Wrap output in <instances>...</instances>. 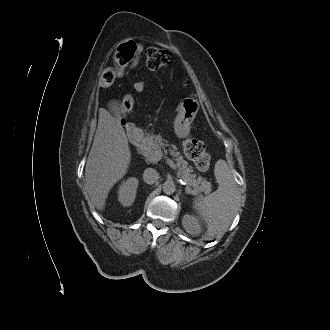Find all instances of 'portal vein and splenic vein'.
<instances>
[{
  "mask_svg": "<svg viewBox=\"0 0 330 330\" xmlns=\"http://www.w3.org/2000/svg\"><path fill=\"white\" fill-rule=\"evenodd\" d=\"M162 154H163V153H161L160 151H156V152H155V155H154V157H153V162H158V161L161 159ZM165 159H166V163H167V164H168L173 170H176V169H177V167H176V165L174 164V162H173L172 159H170V158H168V157H166V156H165Z\"/></svg>",
  "mask_w": 330,
  "mask_h": 330,
  "instance_id": "obj_1",
  "label": "portal vein and splenic vein"
}]
</instances>
